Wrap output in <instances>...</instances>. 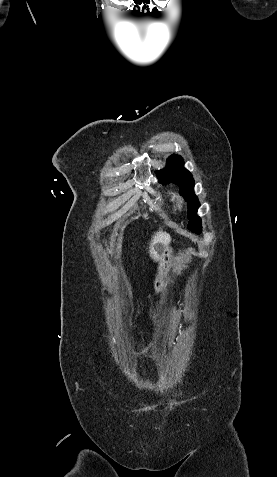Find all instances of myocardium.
Here are the masks:
<instances>
[{
	"label": "myocardium",
	"instance_id": "obj_1",
	"mask_svg": "<svg viewBox=\"0 0 277 477\" xmlns=\"http://www.w3.org/2000/svg\"><path fill=\"white\" fill-rule=\"evenodd\" d=\"M178 203H179V205L183 204V199H182V198H179V199H178Z\"/></svg>",
	"mask_w": 277,
	"mask_h": 477
}]
</instances>
